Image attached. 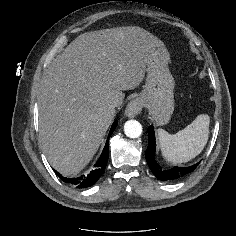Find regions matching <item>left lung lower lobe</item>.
<instances>
[{
    "instance_id": "left-lung-lower-lobe-1",
    "label": "left lung lower lobe",
    "mask_w": 236,
    "mask_h": 236,
    "mask_svg": "<svg viewBox=\"0 0 236 236\" xmlns=\"http://www.w3.org/2000/svg\"><path fill=\"white\" fill-rule=\"evenodd\" d=\"M155 133H154V128L151 125L149 127V132H148V147L146 150V160L147 163L152 171V173L160 180L162 181H176L183 176L189 174L190 172L194 171L196 167L198 166L199 163L194 164L192 166L188 167H172V168H163L161 167L156 159H155Z\"/></svg>"
}]
</instances>
